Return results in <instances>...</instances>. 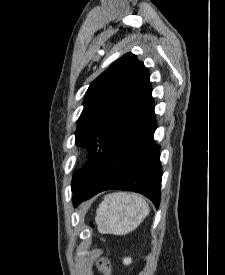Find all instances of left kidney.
<instances>
[{"label": "left kidney", "instance_id": "obj_1", "mask_svg": "<svg viewBox=\"0 0 225 275\" xmlns=\"http://www.w3.org/2000/svg\"><path fill=\"white\" fill-rule=\"evenodd\" d=\"M123 263H124L125 265L130 264V263H131V258H125V259L123 260Z\"/></svg>", "mask_w": 225, "mask_h": 275}]
</instances>
